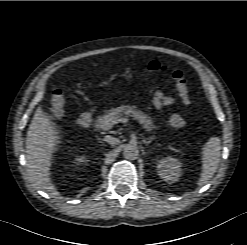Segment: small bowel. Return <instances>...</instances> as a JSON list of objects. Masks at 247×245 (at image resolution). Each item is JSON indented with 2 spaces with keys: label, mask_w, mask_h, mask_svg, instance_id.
Instances as JSON below:
<instances>
[{
  "label": "small bowel",
  "mask_w": 247,
  "mask_h": 245,
  "mask_svg": "<svg viewBox=\"0 0 247 245\" xmlns=\"http://www.w3.org/2000/svg\"><path fill=\"white\" fill-rule=\"evenodd\" d=\"M156 108L160 109L165 106H169L174 102V99L170 96H165L162 92H157L153 99Z\"/></svg>",
  "instance_id": "c3829d8e"
}]
</instances>
